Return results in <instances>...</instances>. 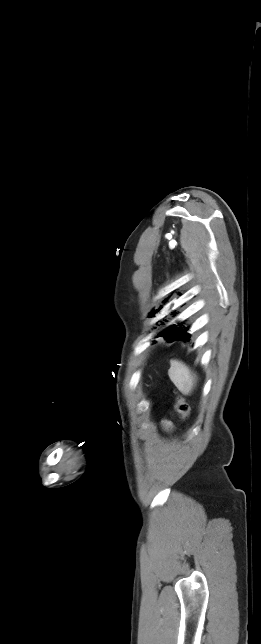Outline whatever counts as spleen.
Instances as JSON below:
<instances>
[{
    "label": "spleen",
    "instance_id": "spleen-1",
    "mask_svg": "<svg viewBox=\"0 0 261 644\" xmlns=\"http://www.w3.org/2000/svg\"><path fill=\"white\" fill-rule=\"evenodd\" d=\"M168 375L181 393L184 395L191 393L196 375L185 364L178 360H171Z\"/></svg>",
    "mask_w": 261,
    "mask_h": 644
}]
</instances>
